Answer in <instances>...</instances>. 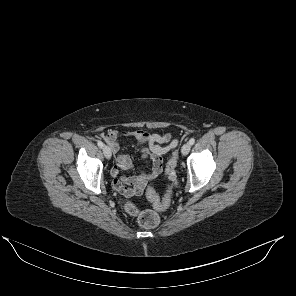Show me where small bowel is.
I'll return each mask as SVG.
<instances>
[{
	"label": "small bowel",
	"mask_w": 296,
	"mask_h": 296,
	"mask_svg": "<svg viewBox=\"0 0 296 296\" xmlns=\"http://www.w3.org/2000/svg\"><path fill=\"white\" fill-rule=\"evenodd\" d=\"M123 138H133L139 145L143 158L152 162L151 173H140L134 176H122L120 172L131 167V158L119 153V141ZM111 153L115 155V166L111 170L114 188L125 197H133L143 192L146 183L162 172L163 155L177 145L170 133L155 134L142 130L118 131L109 130L104 136ZM168 143L167 146H161Z\"/></svg>",
	"instance_id": "small-bowel-1"
}]
</instances>
